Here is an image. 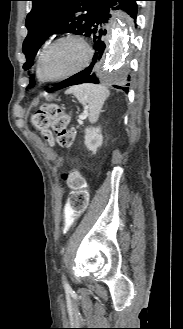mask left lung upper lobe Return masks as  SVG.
<instances>
[{"mask_svg":"<svg viewBox=\"0 0 183 329\" xmlns=\"http://www.w3.org/2000/svg\"><path fill=\"white\" fill-rule=\"evenodd\" d=\"M31 12L26 18L28 35L23 43L26 56L24 70L32 67L38 49L46 39L58 33L86 36L99 8L107 0H30ZM35 85L31 76L28 88Z\"/></svg>","mask_w":183,"mask_h":329,"instance_id":"obj_1","label":"left lung upper lobe"}]
</instances>
